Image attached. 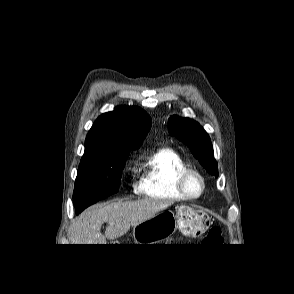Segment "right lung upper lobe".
<instances>
[{
    "label": "right lung upper lobe",
    "mask_w": 294,
    "mask_h": 294,
    "mask_svg": "<svg viewBox=\"0 0 294 294\" xmlns=\"http://www.w3.org/2000/svg\"><path fill=\"white\" fill-rule=\"evenodd\" d=\"M151 118L138 107L118 106L97 118L85 141V151H131L141 145Z\"/></svg>",
    "instance_id": "obj_1"
}]
</instances>
